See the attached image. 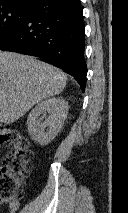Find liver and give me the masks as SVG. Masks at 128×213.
<instances>
[{"mask_svg": "<svg viewBox=\"0 0 128 213\" xmlns=\"http://www.w3.org/2000/svg\"><path fill=\"white\" fill-rule=\"evenodd\" d=\"M67 76L28 55L0 51V122L11 124L45 98L58 95Z\"/></svg>", "mask_w": 128, "mask_h": 213, "instance_id": "6515ba94", "label": "liver"}]
</instances>
